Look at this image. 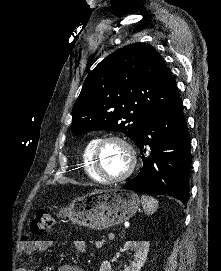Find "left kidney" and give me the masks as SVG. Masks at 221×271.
Instances as JSON below:
<instances>
[{
  "instance_id": "5707ae66",
  "label": "left kidney",
  "mask_w": 221,
  "mask_h": 271,
  "mask_svg": "<svg viewBox=\"0 0 221 271\" xmlns=\"http://www.w3.org/2000/svg\"><path fill=\"white\" fill-rule=\"evenodd\" d=\"M149 245V241H125L123 251H134V255L130 265L124 267L123 271H140L147 259ZM100 271H112L110 261H102Z\"/></svg>"
}]
</instances>
